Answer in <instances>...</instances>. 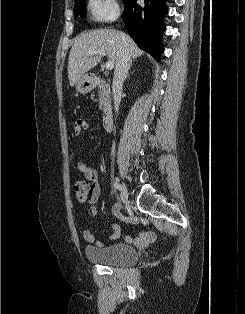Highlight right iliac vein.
<instances>
[{"label": "right iliac vein", "mask_w": 245, "mask_h": 314, "mask_svg": "<svg viewBox=\"0 0 245 314\" xmlns=\"http://www.w3.org/2000/svg\"><path fill=\"white\" fill-rule=\"evenodd\" d=\"M121 198L124 203H127L129 200L127 188L124 183L121 184Z\"/></svg>", "instance_id": "obj_1"}]
</instances>
